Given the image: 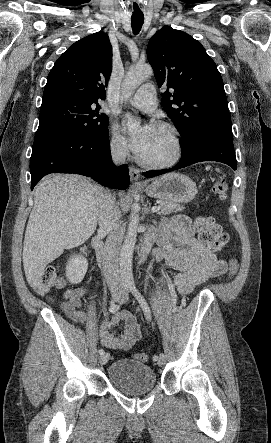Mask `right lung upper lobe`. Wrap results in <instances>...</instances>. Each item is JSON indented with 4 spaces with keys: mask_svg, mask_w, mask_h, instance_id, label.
<instances>
[{
    "mask_svg": "<svg viewBox=\"0 0 271 443\" xmlns=\"http://www.w3.org/2000/svg\"><path fill=\"white\" fill-rule=\"evenodd\" d=\"M112 71V46L108 35L94 33L75 42L55 62L44 88L42 103L74 99L98 104Z\"/></svg>",
    "mask_w": 271,
    "mask_h": 443,
    "instance_id": "obj_1",
    "label": "right lung upper lobe"
}]
</instances>
